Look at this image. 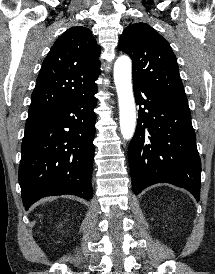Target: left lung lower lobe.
Instances as JSON below:
<instances>
[{
  "label": "left lung lower lobe",
  "mask_w": 215,
  "mask_h": 274,
  "mask_svg": "<svg viewBox=\"0 0 215 274\" xmlns=\"http://www.w3.org/2000/svg\"><path fill=\"white\" fill-rule=\"evenodd\" d=\"M133 88L139 105L128 150L134 194L155 183H170L199 201L201 161L188 103L138 82H133Z\"/></svg>",
  "instance_id": "1"
}]
</instances>
